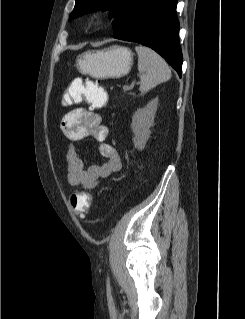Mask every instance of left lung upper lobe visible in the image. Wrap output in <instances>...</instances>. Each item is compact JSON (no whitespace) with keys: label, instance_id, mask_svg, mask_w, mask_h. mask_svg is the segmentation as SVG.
I'll return each mask as SVG.
<instances>
[{"label":"left lung upper lobe","instance_id":"left-lung-upper-lobe-1","mask_svg":"<svg viewBox=\"0 0 245 319\" xmlns=\"http://www.w3.org/2000/svg\"><path fill=\"white\" fill-rule=\"evenodd\" d=\"M139 1L140 0H76L70 18H77L93 10H110L112 16L115 18L113 25L114 35H117Z\"/></svg>","mask_w":245,"mask_h":319}]
</instances>
